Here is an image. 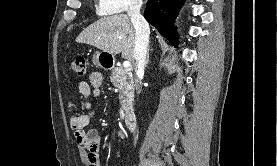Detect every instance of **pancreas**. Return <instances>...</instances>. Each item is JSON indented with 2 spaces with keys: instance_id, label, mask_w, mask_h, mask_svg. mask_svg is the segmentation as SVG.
<instances>
[{
  "instance_id": "1",
  "label": "pancreas",
  "mask_w": 277,
  "mask_h": 166,
  "mask_svg": "<svg viewBox=\"0 0 277 166\" xmlns=\"http://www.w3.org/2000/svg\"><path fill=\"white\" fill-rule=\"evenodd\" d=\"M110 80L120 92L119 102L121 110L128 112L132 107L134 95V83L130 70L123 66L115 67L112 70Z\"/></svg>"
}]
</instances>
